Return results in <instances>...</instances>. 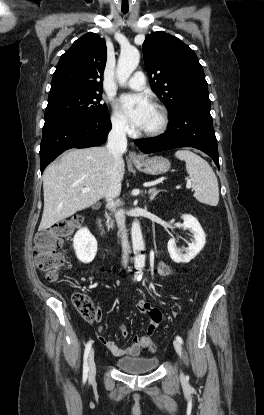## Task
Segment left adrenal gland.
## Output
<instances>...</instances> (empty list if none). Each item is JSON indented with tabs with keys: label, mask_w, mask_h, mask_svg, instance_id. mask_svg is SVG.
Wrapping results in <instances>:
<instances>
[{
	"label": "left adrenal gland",
	"mask_w": 264,
	"mask_h": 415,
	"mask_svg": "<svg viewBox=\"0 0 264 415\" xmlns=\"http://www.w3.org/2000/svg\"><path fill=\"white\" fill-rule=\"evenodd\" d=\"M162 190H157V188H151V189H149V191H148V194L150 195V200L152 201L154 198H155V196L159 193V192H161Z\"/></svg>",
	"instance_id": "a2214340"
}]
</instances>
